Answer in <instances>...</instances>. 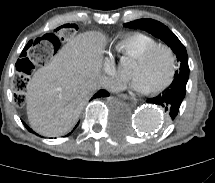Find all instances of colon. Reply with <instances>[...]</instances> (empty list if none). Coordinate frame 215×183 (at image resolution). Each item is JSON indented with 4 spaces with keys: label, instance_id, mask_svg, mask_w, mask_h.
Listing matches in <instances>:
<instances>
[{
    "label": "colon",
    "instance_id": "obj_1",
    "mask_svg": "<svg viewBox=\"0 0 215 183\" xmlns=\"http://www.w3.org/2000/svg\"><path fill=\"white\" fill-rule=\"evenodd\" d=\"M81 36L80 27L74 22L58 26L54 33H42L32 39L26 46L25 54L18 63V74L14 78V88L17 91L16 100L23 101L21 91L25 90L29 76L36 65L48 62L62 48V42H76Z\"/></svg>",
    "mask_w": 215,
    "mask_h": 183
}]
</instances>
